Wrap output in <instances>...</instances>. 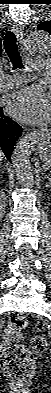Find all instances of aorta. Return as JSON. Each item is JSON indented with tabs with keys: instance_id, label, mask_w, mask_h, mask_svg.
Wrapping results in <instances>:
<instances>
[{
	"instance_id": "obj_1",
	"label": "aorta",
	"mask_w": 51,
	"mask_h": 393,
	"mask_svg": "<svg viewBox=\"0 0 51 393\" xmlns=\"http://www.w3.org/2000/svg\"><path fill=\"white\" fill-rule=\"evenodd\" d=\"M26 47L34 53H49L51 49V39L49 34L42 30H35L31 32L26 38ZM49 140V130L43 129L21 139L16 145L13 152V167L21 185L29 186L32 183L30 162L31 151L34 148L46 145Z\"/></svg>"
}]
</instances>
